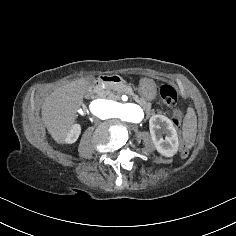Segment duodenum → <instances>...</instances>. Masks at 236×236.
I'll list each match as a JSON object with an SVG mask.
<instances>
[{
    "label": "duodenum",
    "mask_w": 236,
    "mask_h": 236,
    "mask_svg": "<svg viewBox=\"0 0 236 236\" xmlns=\"http://www.w3.org/2000/svg\"><path fill=\"white\" fill-rule=\"evenodd\" d=\"M121 82H122V78L118 75H114V74L100 75L96 79H94L92 82L89 83L88 89L91 90L95 86H98L101 84H118Z\"/></svg>",
    "instance_id": "1"
}]
</instances>
